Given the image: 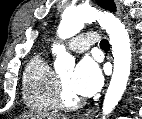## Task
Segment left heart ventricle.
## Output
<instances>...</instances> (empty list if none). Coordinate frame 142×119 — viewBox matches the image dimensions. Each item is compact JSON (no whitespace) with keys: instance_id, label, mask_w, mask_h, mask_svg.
I'll list each match as a JSON object with an SVG mask.
<instances>
[{"instance_id":"obj_1","label":"left heart ventricle","mask_w":142,"mask_h":119,"mask_svg":"<svg viewBox=\"0 0 142 119\" xmlns=\"http://www.w3.org/2000/svg\"><path fill=\"white\" fill-rule=\"evenodd\" d=\"M70 78H71L70 72L60 76V79L62 80L64 86L66 87L68 95L70 97H77V95L70 89V86H69Z\"/></svg>"}]
</instances>
